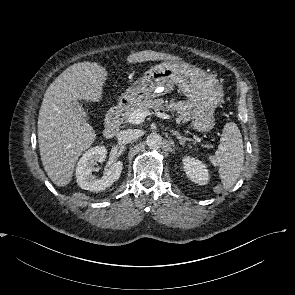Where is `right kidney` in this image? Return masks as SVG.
I'll return each mask as SVG.
<instances>
[{
  "instance_id": "ca27d5eb",
  "label": "right kidney",
  "mask_w": 295,
  "mask_h": 295,
  "mask_svg": "<svg viewBox=\"0 0 295 295\" xmlns=\"http://www.w3.org/2000/svg\"><path fill=\"white\" fill-rule=\"evenodd\" d=\"M107 149L105 146H95L86 151L78 161L76 167V178L78 185L88 191L99 192L110 187L117 181L122 172V162L118 161L105 169L101 178L92 175L96 162H103L106 158Z\"/></svg>"
}]
</instances>
